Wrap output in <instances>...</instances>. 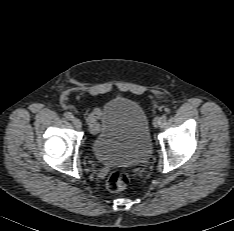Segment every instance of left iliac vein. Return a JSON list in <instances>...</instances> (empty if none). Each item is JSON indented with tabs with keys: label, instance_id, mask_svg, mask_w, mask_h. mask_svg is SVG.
Segmentation results:
<instances>
[{
	"label": "left iliac vein",
	"instance_id": "1",
	"mask_svg": "<svg viewBox=\"0 0 234 231\" xmlns=\"http://www.w3.org/2000/svg\"><path fill=\"white\" fill-rule=\"evenodd\" d=\"M160 120H161V117H155V119L153 121L154 127H156V128L160 127Z\"/></svg>",
	"mask_w": 234,
	"mask_h": 231
}]
</instances>
